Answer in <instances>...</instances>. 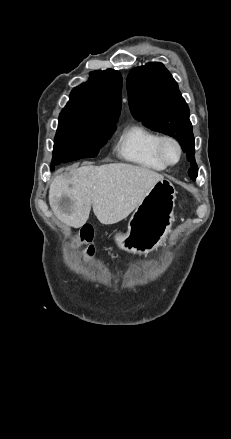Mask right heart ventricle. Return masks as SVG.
<instances>
[{
  "instance_id": "1",
  "label": "right heart ventricle",
  "mask_w": 231,
  "mask_h": 439,
  "mask_svg": "<svg viewBox=\"0 0 231 439\" xmlns=\"http://www.w3.org/2000/svg\"><path fill=\"white\" fill-rule=\"evenodd\" d=\"M159 137L160 135L141 124H131L122 131L116 144V151L120 157L137 166L153 171H164L167 166L156 152Z\"/></svg>"
}]
</instances>
